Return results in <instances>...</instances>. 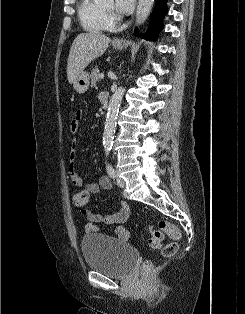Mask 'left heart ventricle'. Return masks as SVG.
<instances>
[{
    "mask_svg": "<svg viewBox=\"0 0 245 314\" xmlns=\"http://www.w3.org/2000/svg\"><path fill=\"white\" fill-rule=\"evenodd\" d=\"M103 6L107 9L113 10L115 7V2L114 0H107L106 2L103 3Z\"/></svg>",
    "mask_w": 245,
    "mask_h": 314,
    "instance_id": "left-heart-ventricle-1",
    "label": "left heart ventricle"
}]
</instances>
